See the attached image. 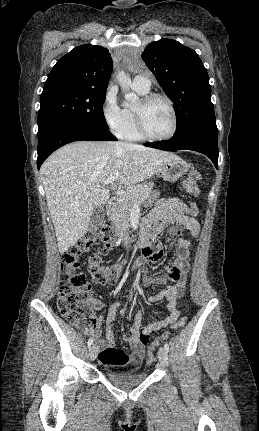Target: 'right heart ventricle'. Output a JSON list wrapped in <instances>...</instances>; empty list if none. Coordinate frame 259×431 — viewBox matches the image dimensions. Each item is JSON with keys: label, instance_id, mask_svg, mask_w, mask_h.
<instances>
[{"label": "right heart ventricle", "instance_id": "e07e8e85", "mask_svg": "<svg viewBox=\"0 0 259 431\" xmlns=\"http://www.w3.org/2000/svg\"><path fill=\"white\" fill-rule=\"evenodd\" d=\"M137 93L140 95H146L148 91H142L139 89L134 88ZM126 112V122L123 125V127L118 132V136L124 140L127 141H142L144 138L139 134L136 124H135V117H134V109L132 108H125Z\"/></svg>", "mask_w": 259, "mask_h": 431}]
</instances>
